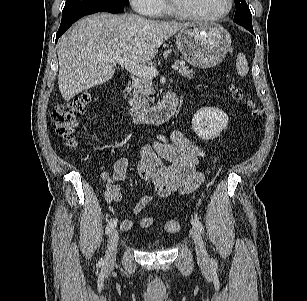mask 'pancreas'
<instances>
[{"label": "pancreas", "instance_id": "1", "mask_svg": "<svg viewBox=\"0 0 307 301\" xmlns=\"http://www.w3.org/2000/svg\"><path fill=\"white\" fill-rule=\"evenodd\" d=\"M179 65V73L191 79L193 77V70L188 69L183 60L175 61ZM133 96L136 98L142 105L148 106L150 103H154L155 89L153 87L152 78L139 77L136 78L132 83Z\"/></svg>", "mask_w": 307, "mask_h": 301}]
</instances>
